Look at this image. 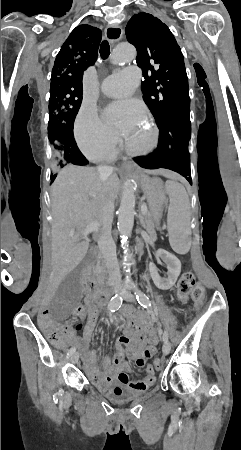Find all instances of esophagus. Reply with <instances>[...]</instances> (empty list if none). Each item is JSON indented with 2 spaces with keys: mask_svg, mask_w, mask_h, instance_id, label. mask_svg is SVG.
Wrapping results in <instances>:
<instances>
[{
  "mask_svg": "<svg viewBox=\"0 0 241 450\" xmlns=\"http://www.w3.org/2000/svg\"><path fill=\"white\" fill-rule=\"evenodd\" d=\"M122 36H123V30L120 26L108 25L105 28V38L112 45H114L116 42L121 40ZM132 167H134V163L131 160H129V161L123 163L120 168L131 169Z\"/></svg>",
  "mask_w": 241,
  "mask_h": 450,
  "instance_id": "1",
  "label": "esophagus"
}]
</instances>
